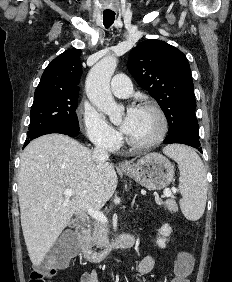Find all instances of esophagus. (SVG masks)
I'll return each instance as SVG.
<instances>
[{
  "instance_id": "esophagus-1",
  "label": "esophagus",
  "mask_w": 232,
  "mask_h": 282,
  "mask_svg": "<svg viewBox=\"0 0 232 282\" xmlns=\"http://www.w3.org/2000/svg\"><path fill=\"white\" fill-rule=\"evenodd\" d=\"M119 166H120V168H127V167H129V164L126 163V162H120Z\"/></svg>"
}]
</instances>
